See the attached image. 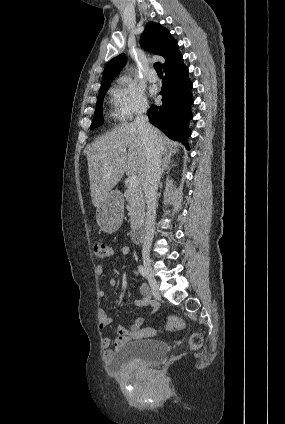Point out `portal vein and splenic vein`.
<instances>
[{
  "mask_svg": "<svg viewBox=\"0 0 285 424\" xmlns=\"http://www.w3.org/2000/svg\"><path fill=\"white\" fill-rule=\"evenodd\" d=\"M128 185L131 188H137L139 185V178L137 175H131L128 179Z\"/></svg>",
  "mask_w": 285,
  "mask_h": 424,
  "instance_id": "18ae733b",
  "label": "portal vein and splenic vein"
}]
</instances>
